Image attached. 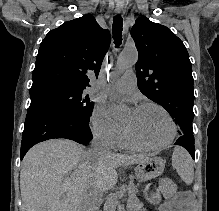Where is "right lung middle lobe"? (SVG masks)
Returning <instances> with one entry per match:
<instances>
[{"label": "right lung middle lobe", "instance_id": "right-lung-middle-lobe-1", "mask_svg": "<svg viewBox=\"0 0 219 211\" xmlns=\"http://www.w3.org/2000/svg\"><path fill=\"white\" fill-rule=\"evenodd\" d=\"M83 90L62 84H49L38 90L31 91V99H51L67 109L76 117L88 121L90 119L94 103L89 96H82Z\"/></svg>", "mask_w": 219, "mask_h": 211}]
</instances>
